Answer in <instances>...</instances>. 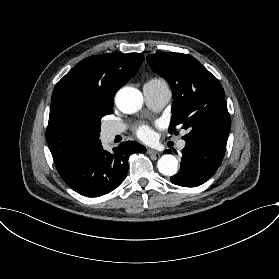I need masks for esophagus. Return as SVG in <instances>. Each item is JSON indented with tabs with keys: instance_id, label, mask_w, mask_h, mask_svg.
Here are the masks:
<instances>
[{
	"instance_id": "obj_1",
	"label": "esophagus",
	"mask_w": 279,
	"mask_h": 279,
	"mask_svg": "<svg viewBox=\"0 0 279 279\" xmlns=\"http://www.w3.org/2000/svg\"><path fill=\"white\" fill-rule=\"evenodd\" d=\"M146 153L150 156H153V157H156L157 154H158V152L156 150L152 149V148H147Z\"/></svg>"
}]
</instances>
